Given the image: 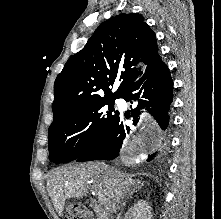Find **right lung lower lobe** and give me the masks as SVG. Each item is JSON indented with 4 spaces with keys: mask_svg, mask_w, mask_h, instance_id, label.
I'll return each mask as SVG.
<instances>
[{
    "mask_svg": "<svg viewBox=\"0 0 221 219\" xmlns=\"http://www.w3.org/2000/svg\"><path fill=\"white\" fill-rule=\"evenodd\" d=\"M121 98L137 106L131 110L136 125L147 128L145 139L151 142L147 150V161H160L168 148L166 129L170 120V105L173 100V81L167 65L156 58L123 92ZM126 118H128L126 116ZM130 127L119 114L104 137L87 153L76 159L78 162L112 160L122 155L129 137Z\"/></svg>",
    "mask_w": 221,
    "mask_h": 219,
    "instance_id": "right-lung-lower-lobe-1",
    "label": "right lung lower lobe"
}]
</instances>
